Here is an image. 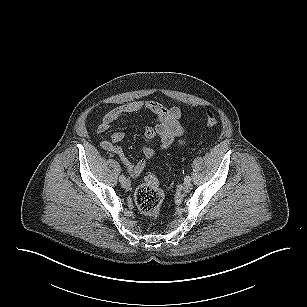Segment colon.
I'll return each instance as SVG.
<instances>
[{"label": "colon", "instance_id": "1", "mask_svg": "<svg viewBox=\"0 0 307 307\" xmlns=\"http://www.w3.org/2000/svg\"><path fill=\"white\" fill-rule=\"evenodd\" d=\"M216 124L215 113L212 110H207V127H214ZM163 198L164 192L160 187L158 177L153 173H148L135 192V203L138 209L148 217L158 219L162 215L161 204Z\"/></svg>", "mask_w": 307, "mask_h": 307}]
</instances>
